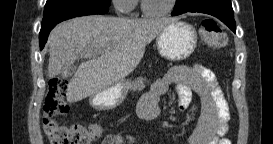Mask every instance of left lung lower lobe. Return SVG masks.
<instances>
[{"label": "left lung lower lobe", "mask_w": 273, "mask_h": 144, "mask_svg": "<svg viewBox=\"0 0 273 144\" xmlns=\"http://www.w3.org/2000/svg\"><path fill=\"white\" fill-rule=\"evenodd\" d=\"M186 12L210 14L224 22L233 32H236V24L230 0H187L184 5L174 7L172 16Z\"/></svg>", "instance_id": "obj_1"}]
</instances>
